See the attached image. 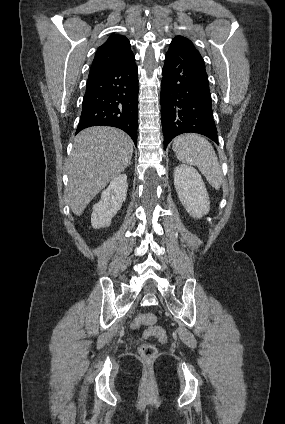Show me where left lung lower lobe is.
<instances>
[{"label":"left lung lower lobe","instance_id":"obj_1","mask_svg":"<svg viewBox=\"0 0 285 424\" xmlns=\"http://www.w3.org/2000/svg\"><path fill=\"white\" fill-rule=\"evenodd\" d=\"M162 74L164 149L174 137L187 132L218 143L204 60L189 39L176 36L172 40Z\"/></svg>","mask_w":285,"mask_h":424}]
</instances>
